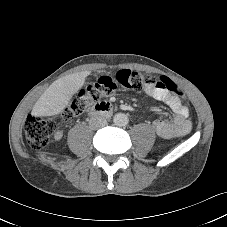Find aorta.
Masks as SVG:
<instances>
[{"label":"aorta","instance_id":"obj_1","mask_svg":"<svg viewBox=\"0 0 227 227\" xmlns=\"http://www.w3.org/2000/svg\"><path fill=\"white\" fill-rule=\"evenodd\" d=\"M113 122L115 123V125L122 127V126H126L128 124L129 119L126 114L117 113V114H115V116L113 118Z\"/></svg>","mask_w":227,"mask_h":227}]
</instances>
